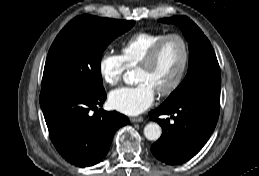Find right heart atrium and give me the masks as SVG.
Listing matches in <instances>:
<instances>
[{
	"label": "right heart atrium",
	"instance_id": "right-heart-atrium-1",
	"mask_svg": "<svg viewBox=\"0 0 259 176\" xmlns=\"http://www.w3.org/2000/svg\"><path fill=\"white\" fill-rule=\"evenodd\" d=\"M126 71V66L120 55L104 52L98 63V72L103 82L109 86L120 83Z\"/></svg>",
	"mask_w": 259,
	"mask_h": 176
}]
</instances>
